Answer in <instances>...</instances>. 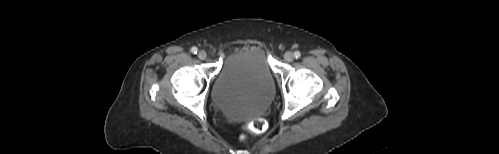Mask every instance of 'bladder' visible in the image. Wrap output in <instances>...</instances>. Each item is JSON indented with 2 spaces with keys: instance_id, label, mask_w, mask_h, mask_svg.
<instances>
[{
  "instance_id": "obj_1",
  "label": "bladder",
  "mask_w": 499,
  "mask_h": 154,
  "mask_svg": "<svg viewBox=\"0 0 499 154\" xmlns=\"http://www.w3.org/2000/svg\"><path fill=\"white\" fill-rule=\"evenodd\" d=\"M276 91L274 72L264 46L246 44L224 60L214 81V103L233 117L262 113Z\"/></svg>"
}]
</instances>
